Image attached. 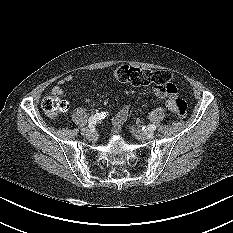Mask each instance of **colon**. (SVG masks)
I'll use <instances>...</instances> for the list:
<instances>
[{
    "label": "colon",
    "mask_w": 233,
    "mask_h": 233,
    "mask_svg": "<svg viewBox=\"0 0 233 233\" xmlns=\"http://www.w3.org/2000/svg\"><path fill=\"white\" fill-rule=\"evenodd\" d=\"M115 79L133 86H153L157 89L166 90L170 93L176 92V87L170 81V74L164 70H144L129 65H122L113 70ZM176 114L179 117L186 115L187 105L184 100H175ZM68 108V103L58 96H49L42 101L44 113L51 119H57Z\"/></svg>",
    "instance_id": "5ec220e1"
}]
</instances>
